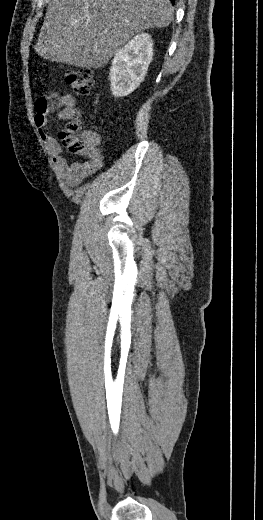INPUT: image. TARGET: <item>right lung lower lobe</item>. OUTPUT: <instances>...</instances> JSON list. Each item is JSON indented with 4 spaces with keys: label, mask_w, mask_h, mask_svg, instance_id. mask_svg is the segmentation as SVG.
<instances>
[{
    "label": "right lung lower lobe",
    "mask_w": 263,
    "mask_h": 520,
    "mask_svg": "<svg viewBox=\"0 0 263 520\" xmlns=\"http://www.w3.org/2000/svg\"><path fill=\"white\" fill-rule=\"evenodd\" d=\"M172 2V4H174V0H170Z\"/></svg>",
    "instance_id": "98d812e1"
}]
</instances>
